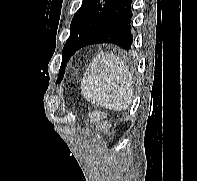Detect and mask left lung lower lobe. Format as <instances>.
Segmentation results:
<instances>
[{
	"label": "left lung lower lobe",
	"mask_w": 197,
	"mask_h": 181,
	"mask_svg": "<svg viewBox=\"0 0 197 181\" xmlns=\"http://www.w3.org/2000/svg\"><path fill=\"white\" fill-rule=\"evenodd\" d=\"M131 20V0H113L84 46L106 43L131 50Z\"/></svg>",
	"instance_id": "obj_1"
}]
</instances>
